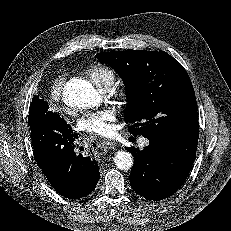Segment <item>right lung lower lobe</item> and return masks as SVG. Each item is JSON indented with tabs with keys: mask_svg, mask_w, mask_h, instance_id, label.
Returning a JSON list of instances; mask_svg holds the SVG:
<instances>
[{
	"mask_svg": "<svg viewBox=\"0 0 231 231\" xmlns=\"http://www.w3.org/2000/svg\"><path fill=\"white\" fill-rule=\"evenodd\" d=\"M48 108L45 101L38 106L30 126L35 160L57 193L69 199L85 197L99 181L97 161L93 154L75 152L76 133Z\"/></svg>",
	"mask_w": 231,
	"mask_h": 231,
	"instance_id": "1",
	"label": "right lung lower lobe"
}]
</instances>
